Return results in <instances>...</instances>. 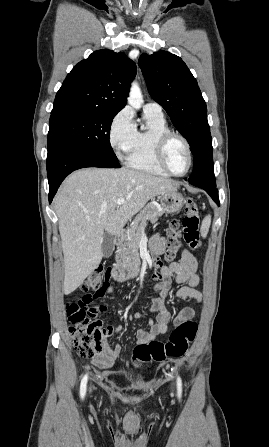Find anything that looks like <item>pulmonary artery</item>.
I'll list each match as a JSON object with an SVG mask.
<instances>
[{
  "label": "pulmonary artery",
  "mask_w": 269,
  "mask_h": 447,
  "mask_svg": "<svg viewBox=\"0 0 269 447\" xmlns=\"http://www.w3.org/2000/svg\"><path fill=\"white\" fill-rule=\"evenodd\" d=\"M144 112L151 113L159 117L164 116L161 105L154 101H150L144 105Z\"/></svg>",
  "instance_id": "e3ab8cb5"
}]
</instances>
